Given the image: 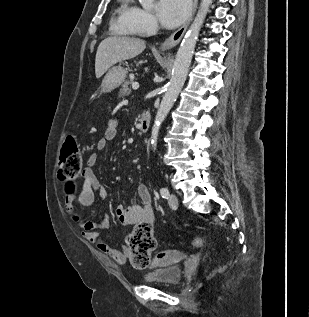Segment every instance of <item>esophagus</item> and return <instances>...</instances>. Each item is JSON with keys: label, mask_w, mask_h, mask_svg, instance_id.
<instances>
[{"label": "esophagus", "mask_w": 309, "mask_h": 317, "mask_svg": "<svg viewBox=\"0 0 309 317\" xmlns=\"http://www.w3.org/2000/svg\"><path fill=\"white\" fill-rule=\"evenodd\" d=\"M198 5V0H193V5H192V11L186 22L178 29L176 30L169 38H167L160 46L161 50L165 51L168 49L173 48L176 46L180 40L182 39L185 31L187 30L190 22L192 21V18L196 12Z\"/></svg>", "instance_id": "obj_1"}]
</instances>
